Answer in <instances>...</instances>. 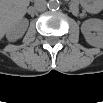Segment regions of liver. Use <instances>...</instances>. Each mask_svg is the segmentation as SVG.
<instances>
[{
  "mask_svg": "<svg viewBox=\"0 0 103 103\" xmlns=\"http://www.w3.org/2000/svg\"><path fill=\"white\" fill-rule=\"evenodd\" d=\"M29 1L6 0L1 2L0 36L3 37L26 14Z\"/></svg>",
  "mask_w": 103,
  "mask_h": 103,
  "instance_id": "liver-1",
  "label": "liver"
}]
</instances>
